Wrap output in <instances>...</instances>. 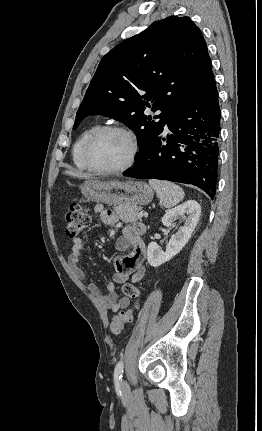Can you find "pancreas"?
I'll use <instances>...</instances> for the list:
<instances>
[{
  "instance_id": "1",
  "label": "pancreas",
  "mask_w": 262,
  "mask_h": 431,
  "mask_svg": "<svg viewBox=\"0 0 262 431\" xmlns=\"http://www.w3.org/2000/svg\"><path fill=\"white\" fill-rule=\"evenodd\" d=\"M142 210L139 206L119 205L115 207V211L123 222H135L139 218L137 215Z\"/></svg>"
}]
</instances>
